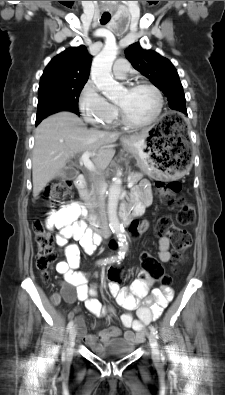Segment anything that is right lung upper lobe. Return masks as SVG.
I'll return each instance as SVG.
<instances>
[{"mask_svg": "<svg viewBox=\"0 0 225 395\" xmlns=\"http://www.w3.org/2000/svg\"><path fill=\"white\" fill-rule=\"evenodd\" d=\"M92 56L84 45L68 48L46 66L40 84L87 82Z\"/></svg>", "mask_w": 225, "mask_h": 395, "instance_id": "cb5924a9", "label": "right lung upper lobe"}]
</instances>
